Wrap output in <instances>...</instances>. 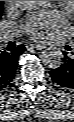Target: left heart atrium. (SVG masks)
I'll return each mask as SVG.
<instances>
[{
	"label": "left heart atrium",
	"instance_id": "obj_1",
	"mask_svg": "<svg viewBox=\"0 0 74 122\" xmlns=\"http://www.w3.org/2000/svg\"><path fill=\"white\" fill-rule=\"evenodd\" d=\"M65 16L57 11H44L28 16L23 28L34 39H48L65 24Z\"/></svg>",
	"mask_w": 74,
	"mask_h": 122
}]
</instances>
